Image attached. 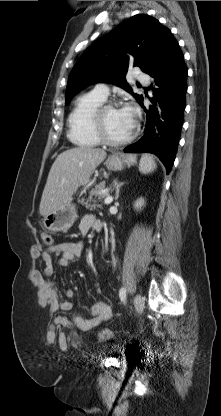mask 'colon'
I'll return each mask as SVG.
<instances>
[{
  "instance_id": "colon-1",
  "label": "colon",
  "mask_w": 221,
  "mask_h": 416,
  "mask_svg": "<svg viewBox=\"0 0 221 416\" xmlns=\"http://www.w3.org/2000/svg\"><path fill=\"white\" fill-rule=\"evenodd\" d=\"M42 242L46 246H51L53 243L52 235L48 232H44L42 234ZM97 336L100 340H110L113 338V332L108 329H103L98 332Z\"/></svg>"
}]
</instances>
